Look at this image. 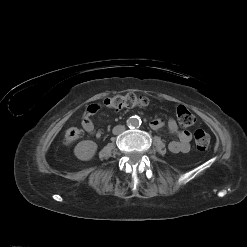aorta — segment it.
Segmentation results:
<instances>
[{
	"instance_id": "aorta-1",
	"label": "aorta",
	"mask_w": 247,
	"mask_h": 247,
	"mask_svg": "<svg viewBox=\"0 0 247 247\" xmlns=\"http://www.w3.org/2000/svg\"><path fill=\"white\" fill-rule=\"evenodd\" d=\"M140 124H141V120L138 116H131L127 120V125L129 127H137Z\"/></svg>"
}]
</instances>
